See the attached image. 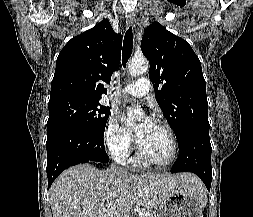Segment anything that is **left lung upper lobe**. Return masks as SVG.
<instances>
[{"mask_svg":"<svg viewBox=\"0 0 253 217\" xmlns=\"http://www.w3.org/2000/svg\"><path fill=\"white\" fill-rule=\"evenodd\" d=\"M141 50L150 62L156 100L177 140L191 129L209 131L205 79L190 44L154 22L143 35Z\"/></svg>","mask_w":253,"mask_h":217,"instance_id":"obj_1","label":"left lung upper lobe"}]
</instances>
